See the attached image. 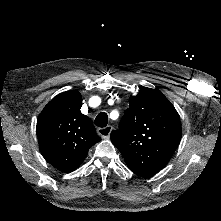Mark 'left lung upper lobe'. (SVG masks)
Returning a JSON list of instances; mask_svg holds the SVG:
<instances>
[{"mask_svg":"<svg viewBox=\"0 0 221 221\" xmlns=\"http://www.w3.org/2000/svg\"><path fill=\"white\" fill-rule=\"evenodd\" d=\"M180 140L178 112L160 90L150 88L130 97L119 130L111 132L128 168L142 177L164 168Z\"/></svg>","mask_w":221,"mask_h":221,"instance_id":"1","label":"left lung upper lobe"}]
</instances>
